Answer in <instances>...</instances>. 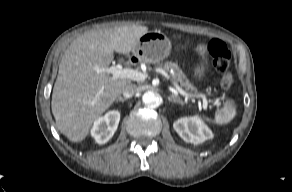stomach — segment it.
I'll list each match as a JSON object with an SVG mask.
<instances>
[{"instance_id":"stomach-1","label":"stomach","mask_w":292,"mask_h":192,"mask_svg":"<svg viewBox=\"0 0 292 192\" xmlns=\"http://www.w3.org/2000/svg\"><path fill=\"white\" fill-rule=\"evenodd\" d=\"M171 52V41L160 31H151L143 35L135 44L133 53L136 57L141 58L147 63H158L168 57ZM196 52L206 59V46L200 44L196 48ZM205 73L203 63L197 65L194 69V76L201 79Z\"/></svg>"}]
</instances>
